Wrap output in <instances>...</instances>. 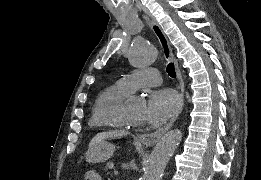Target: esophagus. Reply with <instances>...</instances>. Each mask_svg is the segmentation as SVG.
Returning a JSON list of instances; mask_svg holds the SVG:
<instances>
[{
	"instance_id": "1",
	"label": "esophagus",
	"mask_w": 261,
	"mask_h": 180,
	"mask_svg": "<svg viewBox=\"0 0 261 180\" xmlns=\"http://www.w3.org/2000/svg\"><path fill=\"white\" fill-rule=\"evenodd\" d=\"M151 28L159 40L164 59L167 62L172 61L174 63L176 76H177L179 86H180V108H179L177 114L164 127L159 128V130H156L153 133H145V134H142L139 136V140L144 145H147V146L155 145V143H157L158 140H160V138L172 127V125L174 124L177 116L181 112L182 107L184 105V91H185V85H184L182 74H181V71H180V68L178 65V61L176 60L175 56L173 55L168 38L166 37L165 33L161 29L160 25L154 19H151Z\"/></svg>"
}]
</instances>
